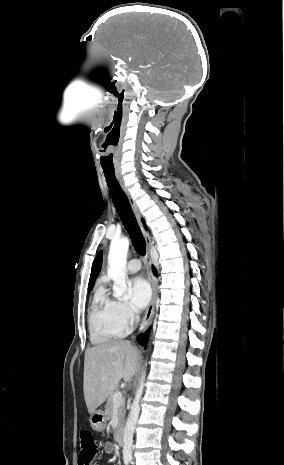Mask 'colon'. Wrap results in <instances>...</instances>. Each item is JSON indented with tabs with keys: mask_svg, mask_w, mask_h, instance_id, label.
<instances>
[{
	"mask_svg": "<svg viewBox=\"0 0 284 465\" xmlns=\"http://www.w3.org/2000/svg\"><path fill=\"white\" fill-rule=\"evenodd\" d=\"M80 454L79 465H89L96 453L95 440L92 433L88 430H81L79 433Z\"/></svg>",
	"mask_w": 284,
	"mask_h": 465,
	"instance_id": "5ec220e1",
	"label": "colon"
}]
</instances>
